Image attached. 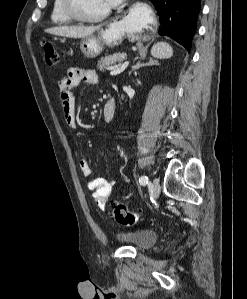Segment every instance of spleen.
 Masks as SVG:
<instances>
[{
    "label": "spleen",
    "mask_w": 247,
    "mask_h": 299,
    "mask_svg": "<svg viewBox=\"0 0 247 299\" xmlns=\"http://www.w3.org/2000/svg\"><path fill=\"white\" fill-rule=\"evenodd\" d=\"M151 55L158 59H168L172 57V47L166 42H158L153 45L151 49Z\"/></svg>",
    "instance_id": "1"
}]
</instances>
